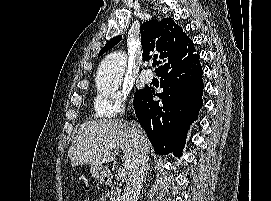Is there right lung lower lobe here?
I'll use <instances>...</instances> for the list:
<instances>
[{"label": "right lung lower lobe", "mask_w": 271, "mask_h": 201, "mask_svg": "<svg viewBox=\"0 0 271 201\" xmlns=\"http://www.w3.org/2000/svg\"><path fill=\"white\" fill-rule=\"evenodd\" d=\"M157 75L161 77L163 92L145 87L134 96V109L138 120L148 134L157 154L174 153L181 156L187 131L197 119L203 105L202 68L199 54L195 53L189 38L180 55L164 64Z\"/></svg>", "instance_id": "obj_1"}]
</instances>
